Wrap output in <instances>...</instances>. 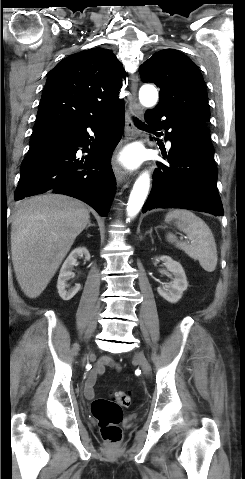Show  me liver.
<instances>
[{"instance_id":"6515ba94","label":"liver","mask_w":245,"mask_h":479,"mask_svg":"<svg viewBox=\"0 0 245 479\" xmlns=\"http://www.w3.org/2000/svg\"><path fill=\"white\" fill-rule=\"evenodd\" d=\"M89 222L85 205L65 195L35 196L17 204L11 254L16 279L27 297L44 291Z\"/></svg>"}]
</instances>
